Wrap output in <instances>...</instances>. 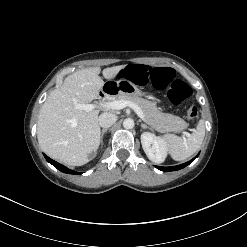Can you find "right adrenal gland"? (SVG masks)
<instances>
[{
  "mask_svg": "<svg viewBox=\"0 0 247 247\" xmlns=\"http://www.w3.org/2000/svg\"><path fill=\"white\" fill-rule=\"evenodd\" d=\"M107 131H108V128L102 129V132H101V138H103V136H104L105 132H107Z\"/></svg>",
  "mask_w": 247,
  "mask_h": 247,
  "instance_id": "1",
  "label": "right adrenal gland"
}]
</instances>
